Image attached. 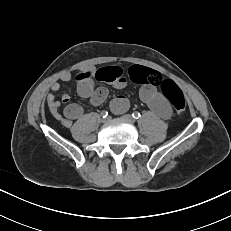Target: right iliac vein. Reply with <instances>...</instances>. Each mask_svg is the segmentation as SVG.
<instances>
[{
	"label": "right iliac vein",
	"mask_w": 231,
	"mask_h": 231,
	"mask_svg": "<svg viewBox=\"0 0 231 231\" xmlns=\"http://www.w3.org/2000/svg\"><path fill=\"white\" fill-rule=\"evenodd\" d=\"M101 121H102L103 123H105V122L108 121V118H106V119H101Z\"/></svg>",
	"instance_id": "right-iliac-vein-1"
}]
</instances>
